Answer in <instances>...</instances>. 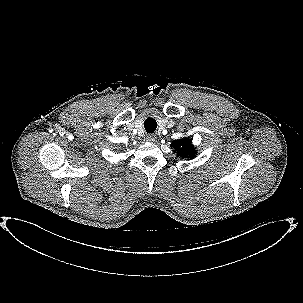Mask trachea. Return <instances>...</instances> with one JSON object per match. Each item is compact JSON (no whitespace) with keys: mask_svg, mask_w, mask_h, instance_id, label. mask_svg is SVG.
I'll return each instance as SVG.
<instances>
[{"mask_svg":"<svg viewBox=\"0 0 303 303\" xmlns=\"http://www.w3.org/2000/svg\"><path fill=\"white\" fill-rule=\"evenodd\" d=\"M144 127L147 133H152L157 128V122L153 118H147L144 122Z\"/></svg>","mask_w":303,"mask_h":303,"instance_id":"3493384b","label":"trachea"}]
</instances>
